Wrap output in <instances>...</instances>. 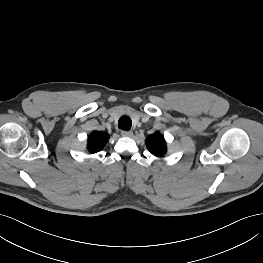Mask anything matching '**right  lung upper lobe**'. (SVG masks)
I'll use <instances>...</instances> for the list:
<instances>
[{
  "mask_svg": "<svg viewBox=\"0 0 263 263\" xmlns=\"http://www.w3.org/2000/svg\"><path fill=\"white\" fill-rule=\"evenodd\" d=\"M108 140L109 135L107 133L94 131L88 137V150L91 153H96L103 149Z\"/></svg>",
  "mask_w": 263,
  "mask_h": 263,
  "instance_id": "right-lung-upper-lobe-1",
  "label": "right lung upper lobe"
}]
</instances>
